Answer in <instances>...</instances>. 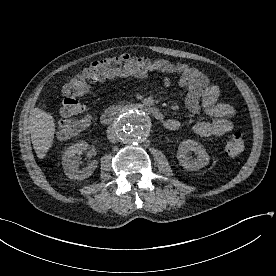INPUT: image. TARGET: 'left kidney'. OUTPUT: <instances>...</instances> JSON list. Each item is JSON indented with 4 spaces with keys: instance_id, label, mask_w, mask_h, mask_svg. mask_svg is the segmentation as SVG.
<instances>
[{
    "instance_id": "obj_1",
    "label": "left kidney",
    "mask_w": 276,
    "mask_h": 276,
    "mask_svg": "<svg viewBox=\"0 0 276 276\" xmlns=\"http://www.w3.org/2000/svg\"><path fill=\"white\" fill-rule=\"evenodd\" d=\"M191 152H194L197 158H193ZM177 159L183 168L193 171L207 166L210 157L200 143L187 139L180 143Z\"/></svg>"
}]
</instances>
